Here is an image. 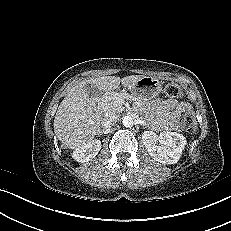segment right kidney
Returning a JSON list of instances; mask_svg holds the SVG:
<instances>
[{
    "label": "right kidney",
    "mask_w": 231,
    "mask_h": 231,
    "mask_svg": "<svg viewBox=\"0 0 231 231\" xmlns=\"http://www.w3.org/2000/svg\"><path fill=\"white\" fill-rule=\"evenodd\" d=\"M100 149L101 141L97 139L91 140L74 149L72 158L80 163L88 162L96 157Z\"/></svg>",
    "instance_id": "1"
}]
</instances>
